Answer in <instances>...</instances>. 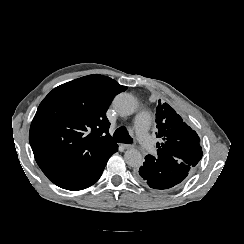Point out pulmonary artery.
Masks as SVG:
<instances>
[{
  "mask_svg": "<svg viewBox=\"0 0 244 244\" xmlns=\"http://www.w3.org/2000/svg\"><path fill=\"white\" fill-rule=\"evenodd\" d=\"M149 123V114L146 111H141L138 114V121L136 127V136L138 145L144 149H149L152 146V140L147 135V127Z\"/></svg>",
  "mask_w": 244,
  "mask_h": 244,
  "instance_id": "pulmonary-artery-1",
  "label": "pulmonary artery"
}]
</instances>
